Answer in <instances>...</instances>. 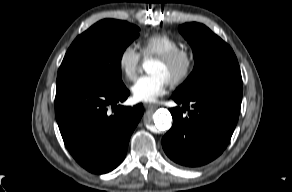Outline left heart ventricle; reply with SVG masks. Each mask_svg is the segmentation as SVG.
Returning <instances> with one entry per match:
<instances>
[{
    "label": "left heart ventricle",
    "instance_id": "obj_1",
    "mask_svg": "<svg viewBox=\"0 0 292 192\" xmlns=\"http://www.w3.org/2000/svg\"><path fill=\"white\" fill-rule=\"evenodd\" d=\"M178 71L177 66L167 65L158 59H155L148 67L149 73H159L163 75L168 81L173 77Z\"/></svg>",
    "mask_w": 292,
    "mask_h": 192
}]
</instances>
